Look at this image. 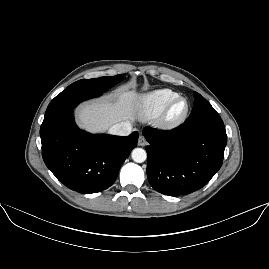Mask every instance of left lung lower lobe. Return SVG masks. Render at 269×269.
<instances>
[{
    "mask_svg": "<svg viewBox=\"0 0 269 269\" xmlns=\"http://www.w3.org/2000/svg\"><path fill=\"white\" fill-rule=\"evenodd\" d=\"M143 135L149 143L148 180L162 194L180 196L197 191L222 166L227 135L221 118L183 123L171 131L145 127Z\"/></svg>",
    "mask_w": 269,
    "mask_h": 269,
    "instance_id": "1",
    "label": "left lung lower lobe"
}]
</instances>
